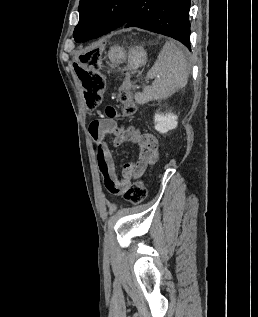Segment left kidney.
<instances>
[{
  "label": "left kidney",
  "instance_id": "5707ae66",
  "mask_svg": "<svg viewBox=\"0 0 258 317\" xmlns=\"http://www.w3.org/2000/svg\"><path fill=\"white\" fill-rule=\"evenodd\" d=\"M177 118V114H173V112H166V114H163V112H161V114L156 112L154 116V128H156L158 132H168V130L176 128L178 122Z\"/></svg>",
  "mask_w": 258,
  "mask_h": 317
}]
</instances>
